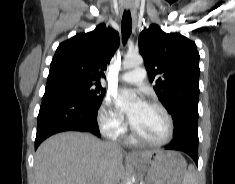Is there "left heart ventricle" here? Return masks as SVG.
Returning a JSON list of instances; mask_svg holds the SVG:
<instances>
[{
    "mask_svg": "<svg viewBox=\"0 0 235 184\" xmlns=\"http://www.w3.org/2000/svg\"><path fill=\"white\" fill-rule=\"evenodd\" d=\"M133 127L140 136L154 141L164 139L168 132L165 115L159 109L150 106L142 111Z\"/></svg>",
    "mask_w": 235,
    "mask_h": 184,
    "instance_id": "obj_1",
    "label": "left heart ventricle"
}]
</instances>
